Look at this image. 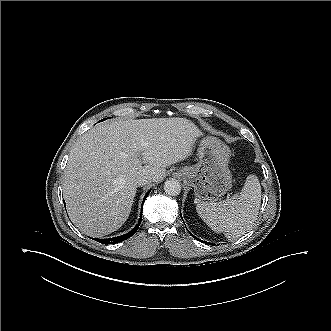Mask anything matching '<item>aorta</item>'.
<instances>
[{
  "instance_id": "1",
  "label": "aorta",
  "mask_w": 331,
  "mask_h": 331,
  "mask_svg": "<svg viewBox=\"0 0 331 331\" xmlns=\"http://www.w3.org/2000/svg\"><path fill=\"white\" fill-rule=\"evenodd\" d=\"M164 191L170 196H177L181 192V185L178 180L169 178L164 183Z\"/></svg>"
}]
</instances>
